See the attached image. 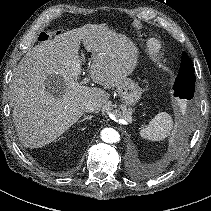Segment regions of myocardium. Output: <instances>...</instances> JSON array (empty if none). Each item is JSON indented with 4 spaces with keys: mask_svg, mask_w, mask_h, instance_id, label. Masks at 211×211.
Here are the masks:
<instances>
[{
    "mask_svg": "<svg viewBox=\"0 0 211 211\" xmlns=\"http://www.w3.org/2000/svg\"><path fill=\"white\" fill-rule=\"evenodd\" d=\"M150 48H151L152 51L157 52L160 48L159 43L156 42V41H152L150 43Z\"/></svg>",
    "mask_w": 211,
    "mask_h": 211,
    "instance_id": "myocardium-1",
    "label": "myocardium"
}]
</instances>
